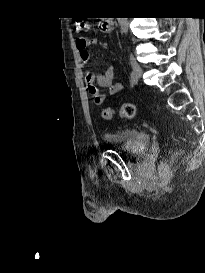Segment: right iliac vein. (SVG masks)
I'll use <instances>...</instances> for the list:
<instances>
[{
    "label": "right iliac vein",
    "instance_id": "1",
    "mask_svg": "<svg viewBox=\"0 0 205 273\" xmlns=\"http://www.w3.org/2000/svg\"><path fill=\"white\" fill-rule=\"evenodd\" d=\"M130 64L135 77L137 80L140 79L142 76V68L133 56L130 57Z\"/></svg>",
    "mask_w": 205,
    "mask_h": 273
}]
</instances>
